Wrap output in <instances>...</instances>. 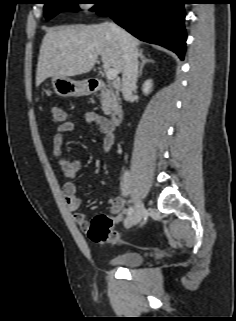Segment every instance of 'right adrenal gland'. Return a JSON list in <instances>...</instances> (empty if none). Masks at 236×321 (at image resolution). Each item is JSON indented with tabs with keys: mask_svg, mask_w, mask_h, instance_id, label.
Masks as SVG:
<instances>
[{
	"mask_svg": "<svg viewBox=\"0 0 236 321\" xmlns=\"http://www.w3.org/2000/svg\"><path fill=\"white\" fill-rule=\"evenodd\" d=\"M139 57H140L141 63H140V69H139L138 78L142 76V71H143V68H144V65H145V64H147V63H155L154 60H152V59H147L146 56L143 54L142 51H140Z\"/></svg>",
	"mask_w": 236,
	"mask_h": 321,
	"instance_id": "obj_1",
	"label": "right adrenal gland"
}]
</instances>
